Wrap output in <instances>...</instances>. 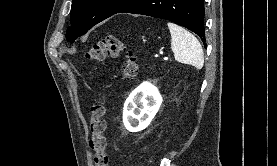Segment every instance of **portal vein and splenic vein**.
Returning a JSON list of instances; mask_svg holds the SVG:
<instances>
[{
	"instance_id": "obj_1",
	"label": "portal vein and splenic vein",
	"mask_w": 277,
	"mask_h": 166,
	"mask_svg": "<svg viewBox=\"0 0 277 166\" xmlns=\"http://www.w3.org/2000/svg\"><path fill=\"white\" fill-rule=\"evenodd\" d=\"M159 56L157 54H155V58H158Z\"/></svg>"
}]
</instances>
